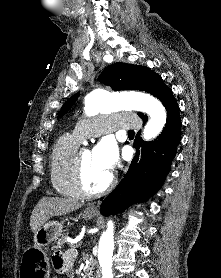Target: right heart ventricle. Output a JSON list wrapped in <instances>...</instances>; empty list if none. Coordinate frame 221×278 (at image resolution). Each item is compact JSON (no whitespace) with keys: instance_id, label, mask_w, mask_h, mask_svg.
Here are the masks:
<instances>
[{"instance_id":"right-heart-ventricle-1","label":"right heart ventricle","mask_w":221,"mask_h":278,"mask_svg":"<svg viewBox=\"0 0 221 278\" xmlns=\"http://www.w3.org/2000/svg\"><path fill=\"white\" fill-rule=\"evenodd\" d=\"M78 151V140L69 134L61 136L50 154V180L53 188L62 196L79 199L72 184L71 172L75 155Z\"/></svg>"}]
</instances>
